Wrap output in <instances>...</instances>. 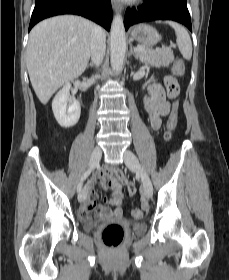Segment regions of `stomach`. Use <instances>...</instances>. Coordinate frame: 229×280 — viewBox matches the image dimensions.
Listing matches in <instances>:
<instances>
[{
    "instance_id": "obj_1",
    "label": "stomach",
    "mask_w": 229,
    "mask_h": 280,
    "mask_svg": "<svg viewBox=\"0 0 229 280\" xmlns=\"http://www.w3.org/2000/svg\"><path fill=\"white\" fill-rule=\"evenodd\" d=\"M131 37L146 48L153 47L161 39L158 31L148 24H139L133 27Z\"/></svg>"
}]
</instances>
